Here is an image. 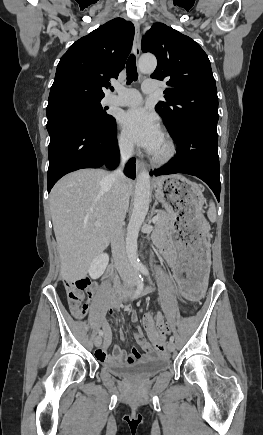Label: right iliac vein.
Here are the masks:
<instances>
[{
	"label": "right iliac vein",
	"mask_w": 263,
	"mask_h": 435,
	"mask_svg": "<svg viewBox=\"0 0 263 435\" xmlns=\"http://www.w3.org/2000/svg\"><path fill=\"white\" fill-rule=\"evenodd\" d=\"M102 343V337L101 336H97L94 340V344L96 347H99Z\"/></svg>",
	"instance_id": "right-iliac-vein-1"
}]
</instances>
